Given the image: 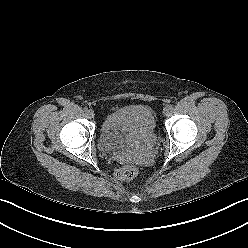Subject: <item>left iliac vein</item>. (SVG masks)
<instances>
[{
  "instance_id": "4c4485c4",
  "label": "left iliac vein",
  "mask_w": 248,
  "mask_h": 248,
  "mask_svg": "<svg viewBox=\"0 0 248 248\" xmlns=\"http://www.w3.org/2000/svg\"><path fill=\"white\" fill-rule=\"evenodd\" d=\"M170 111H171L170 106H165L164 109H163V114L165 116H167V115H169Z\"/></svg>"
}]
</instances>
